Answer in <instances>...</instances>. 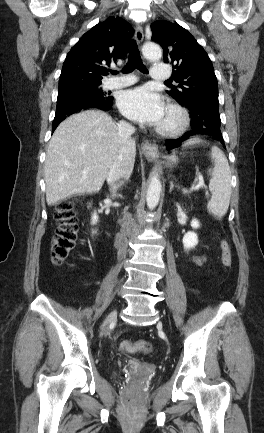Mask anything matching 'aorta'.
Segmentation results:
<instances>
[{"label": "aorta", "mask_w": 264, "mask_h": 433, "mask_svg": "<svg viewBox=\"0 0 264 433\" xmlns=\"http://www.w3.org/2000/svg\"><path fill=\"white\" fill-rule=\"evenodd\" d=\"M142 52L144 57L151 61H158L162 57V50L159 45L155 43H146L143 45ZM162 191V185L161 181L158 178V176L154 175L151 177L148 190H147V196H146V202L147 207L149 209H154L160 199V194Z\"/></svg>", "instance_id": "obj_1"}]
</instances>
